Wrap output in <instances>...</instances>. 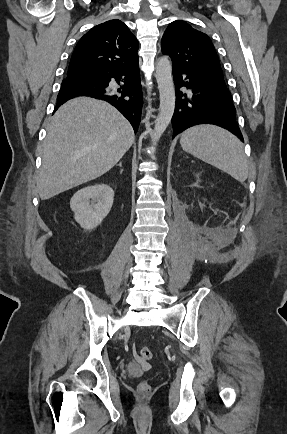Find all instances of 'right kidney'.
Listing matches in <instances>:
<instances>
[{
  "mask_svg": "<svg viewBox=\"0 0 287 434\" xmlns=\"http://www.w3.org/2000/svg\"><path fill=\"white\" fill-rule=\"evenodd\" d=\"M113 200L114 191L109 185L95 184L77 191L70 200V208L76 222L92 230L108 215Z\"/></svg>",
  "mask_w": 287,
  "mask_h": 434,
  "instance_id": "ca27d5eb",
  "label": "right kidney"
}]
</instances>
